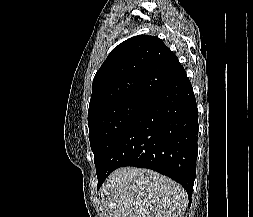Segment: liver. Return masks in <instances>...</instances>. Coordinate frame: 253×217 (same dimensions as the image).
<instances>
[{"label": "liver", "mask_w": 253, "mask_h": 217, "mask_svg": "<svg viewBox=\"0 0 253 217\" xmlns=\"http://www.w3.org/2000/svg\"><path fill=\"white\" fill-rule=\"evenodd\" d=\"M101 203L103 217H182L187 194L153 170L124 167L102 185Z\"/></svg>", "instance_id": "1"}]
</instances>
